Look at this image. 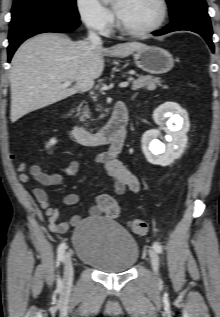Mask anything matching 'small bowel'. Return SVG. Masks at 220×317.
Here are the masks:
<instances>
[{"label":"small bowel","instance_id":"c3829d8e","mask_svg":"<svg viewBox=\"0 0 220 317\" xmlns=\"http://www.w3.org/2000/svg\"><path fill=\"white\" fill-rule=\"evenodd\" d=\"M120 149L112 146L109 151L99 154L95 162L101 164L105 172L112 178L114 181V191L117 195H122L126 191L138 192L140 190V182L137 176L117 159ZM78 170L79 163L77 160L72 161L63 172L52 174L43 172L37 165H32L29 168V173H26L25 167L21 166L18 177L22 183H27L32 179L43 186H56L63 181L64 175L74 176ZM33 195L39 206L45 211L49 227L53 232L65 233L71 226L77 225L81 221L79 215H74L66 221H59V209L51 206L48 195L43 188L35 187ZM108 197H110L108 194L97 195L96 204L89 209V214L93 217L102 215L104 213L103 202ZM78 201L79 196L75 193H70L63 197L62 204L74 205Z\"/></svg>","mask_w":220,"mask_h":317}]
</instances>
